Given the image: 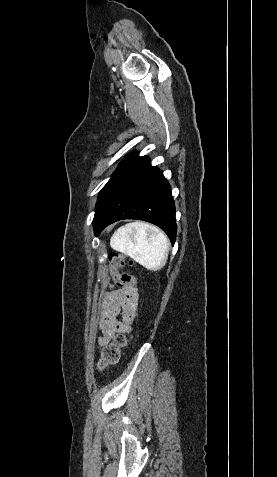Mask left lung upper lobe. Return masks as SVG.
I'll return each instance as SVG.
<instances>
[{"label": "left lung upper lobe", "instance_id": "5c2ea615", "mask_svg": "<svg viewBox=\"0 0 277 477\" xmlns=\"http://www.w3.org/2000/svg\"><path fill=\"white\" fill-rule=\"evenodd\" d=\"M131 155H132V153L129 154V155H127V157L124 159V161L127 160ZM124 161H123V162H124ZM123 162H122V163H123Z\"/></svg>", "mask_w": 277, "mask_h": 477}]
</instances>
